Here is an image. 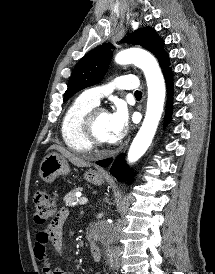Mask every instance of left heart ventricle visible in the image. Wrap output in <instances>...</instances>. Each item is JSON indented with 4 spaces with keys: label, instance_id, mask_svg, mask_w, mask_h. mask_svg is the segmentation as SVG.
I'll use <instances>...</instances> for the list:
<instances>
[{
    "label": "left heart ventricle",
    "instance_id": "obj_1",
    "mask_svg": "<svg viewBox=\"0 0 215 274\" xmlns=\"http://www.w3.org/2000/svg\"><path fill=\"white\" fill-rule=\"evenodd\" d=\"M108 120H109V114L103 111L98 114L95 122V131L97 136L101 140H104L107 142H109Z\"/></svg>",
    "mask_w": 215,
    "mask_h": 274
}]
</instances>
